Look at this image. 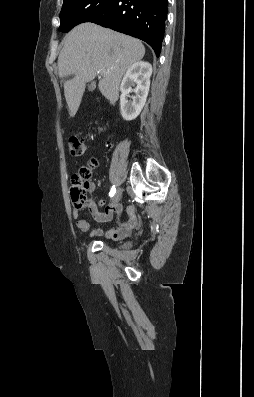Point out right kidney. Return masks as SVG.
<instances>
[{
  "label": "right kidney",
  "instance_id": "obj_1",
  "mask_svg": "<svg viewBox=\"0 0 254 397\" xmlns=\"http://www.w3.org/2000/svg\"><path fill=\"white\" fill-rule=\"evenodd\" d=\"M152 66L148 62L139 61L126 71L121 85L120 111L126 121L134 120L145 105L149 87ZM132 87H135L132 89ZM134 92L135 95L130 96Z\"/></svg>",
  "mask_w": 254,
  "mask_h": 397
}]
</instances>
